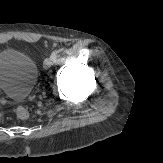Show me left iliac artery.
I'll return each mask as SVG.
<instances>
[{"label":"left iliac artery","mask_w":163,"mask_h":163,"mask_svg":"<svg viewBox=\"0 0 163 163\" xmlns=\"http://www.w3.org/2000/svg\"><path fill=\"white\" fill-rule=\"evenodd\" d=\"M51 56L53 57L54 62H55L56 61V58H57V51L56 50L53 51Z\"/></svg>","instance_id":"left-iliac-artery-1"}]
</instances>
